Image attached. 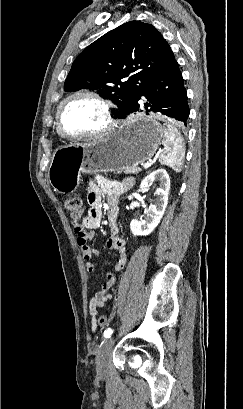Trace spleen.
Here are the masks:
<instances>
[{"label": "spleen", "instance_id": "spleen-1", "mask_svg": "<svg viewBox=\"0 0 243 409\" xmlns=\"http://www.w3.org/2000/svg\"><path fill=\"white\" fill-rule=\"evenodd\" d=\"M164 151L160 154L161 164L169 166L175 172H180L185 156L183 138L178 130L169 122L163 124Z\"/></svg>", "mask_w": 243, "mask_h": 409}]
</instances>
